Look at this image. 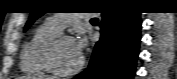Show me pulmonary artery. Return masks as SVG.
<instances>
[{"mask_svg":"<svg viewBox=\"0 0 177 79\" xmlns=\"http://www.w3.org/2000/svg\"><path fill=\"white\" fill-rule=\"evenodd\" d=\"M86 16H91L85 13H75V14H54L49 19L46 20V23L58 32H62L63 29L75 22H78Z\"/></svg>","mask_w":177,"mask_h":79,"instance_id":"e3ab8cb5","label":"pulmonary artery"}]
</instances>
